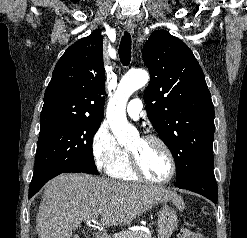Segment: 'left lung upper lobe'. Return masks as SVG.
Masks as SVG:
<instances>
[{
	"instance_id": "1",
	"label": "left lung upper lobe",
	"mask_w": 247,
	"mask_h": 238,
	"mask_svg": "<svg viewBox=\"0 0 247 238\" xmlns=\"http://www.w3.org/2000/svg\"><path fill=\"white\" fill-rule=\"evenodd\" d=\"M147 114L177 166V185L213 169L214 107L203 71L188 46L165 30L146 41Z\"/></svg>"
}]
</instances>
